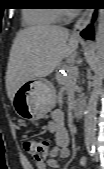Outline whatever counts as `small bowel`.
I'll return each instance as SVG.
<instances>
[{
    "label": "small bowel",
    "instance_id": "obj_1",
    "mask_svg": "<svg viewBox=\"0 0 104 169\" xmlns=\"http://www.w3.org/2000/svg\"><path fill=\"white\" fill-rule=\"evenodd\" d=\"M49 129L54 135L55 146L52 148L50 157L47 162H38L36 164L37 169H46L47 165L54 169H59L60 165L57 158L66 159L70 155L68 149L69 134L65 127L64 114L61 110H55L52 113ZM81 165L87 164V159L82 157L80 159Z\"/></svg>",
    "mask_w": 104,
    "mask_h": 169
}]
</instances>
